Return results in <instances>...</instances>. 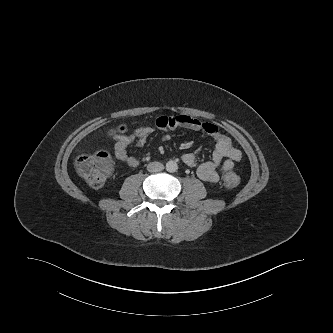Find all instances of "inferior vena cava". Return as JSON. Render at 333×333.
Here are the masks:
<instances>
[{
  "mask_svg": "<svg viewBox=\"0 0 333 333\" xmlns=\"http://www.w3.org/2000/svg\"><path fill=\"white\" fill-rule=\"evenodd\" d=\"M163 169H164V166L160 162H151L147 166V170L149 172H159V171H162Z\"/></svg>",
  "mask_w": 333,
  "mask_h": 333,
  "instance_id": "obj_1",
  "label": "inferior vena cava"
}]
</instances>
